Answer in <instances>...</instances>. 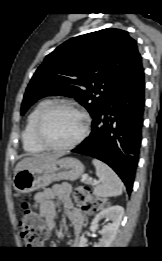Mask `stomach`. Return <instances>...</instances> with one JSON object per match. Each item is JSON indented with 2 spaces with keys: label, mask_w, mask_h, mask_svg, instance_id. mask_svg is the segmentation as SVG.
Returning <instances> with one entry per match:
<instances>
[{
  "label": "stomach",
  "mask_w": 162,
  "mask_h": 261,
  "mask_svg": "<svg viewBox=\"0 0 162 261\" xmlns=\"http://www.w3.org/2000/svg\"><path fill=\"white\" fill-rule=\"evenodd\" d=\"M84 165L73 157H58L47 160L40 166L23 169L15 173L13 187L19 193H30L44 188L55 181L78 179Z\"/></svg>",
  "instance_id": "obj_1"
}]
</instances>
